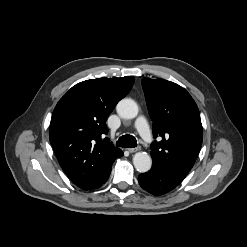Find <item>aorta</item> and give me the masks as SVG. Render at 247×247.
<instances>
[{"mask_svg": "<svg viewBox=\"0 0 247 247\" xmlns=\"http://www.w3.org/2000/svg\"><path fill=\"white\" fill-rule=\"evenodd\" d=\"M118 115L124 119H133L138 115L137 103L130 99L124 98L116 106ZM133 164L137 171L144 173L150 170L152 159L146 152H137L133 156Z\"/></svg>", "mask_w": 247, "mask_h": 247, "instance_id": "obj_1", "label": "aorta"}]
</instances>
